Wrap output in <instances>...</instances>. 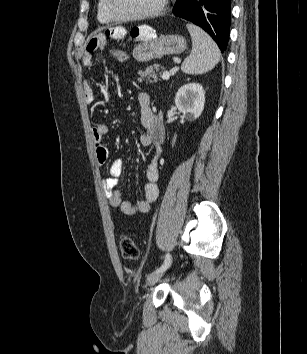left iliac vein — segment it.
<instances>
[{"mask_svg": "<svg viewBox=\"0 0 307 354\" xmlns=\"http://www.w3.org/2000/svg\"><path fill=\"white\" fill-rule=\"evenodd\" d=\"M164 274L163 272H157L155 271L152 273L148 278H147V285L153 286Z\"/></svg>", "mask_w": 307, "mask_h": 354, "instance_id": "4c4485c4", "label": "left iliac vein"}]
</instances>
